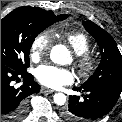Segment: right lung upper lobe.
Returning <instances> with one entry per match:
<instances>
[{"label":"right lung upper lobe","mask_w":122,"mask_h":122,"mask_svg":"<svg viewBox=\"0 0 122 122\" xmlns=\"http://www.w3.org/2000/svg\"><path fill=\"white\" fill-rule=\"evenodd\" d=\"M16 11H19V12H21L31 18L37 19V20L60 21V20L66 19L68 17L67 15L55 16L52 11H45L44 9H41V8L28 7V6L20 7L18 9H16Z\"/></svg>","instance_id":"cb5924a9"}]
</instances>
